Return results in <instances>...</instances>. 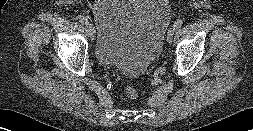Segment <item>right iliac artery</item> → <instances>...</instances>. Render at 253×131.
I'll use <instances>...</instances> for the list:
<instances>
[{"label": "right iliac artery", "mask_w": 253, "mask_h": 131, "mask_svg": "<svg viewBox=\"0 0 253 131\" xmlns=\"http://www.w3.org/2000/svg\"><path fill=\"white\" fill-rule=\"evenodd\" d=\"M78 20H79V22L82 23L83 25H87V24L89 23L88 18L85 17V16H79V17H78Z\"/></svg>", "instance_id": "1"}]
</instances>
